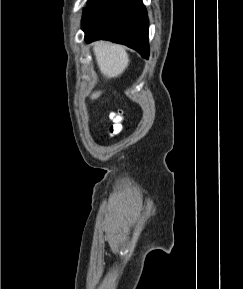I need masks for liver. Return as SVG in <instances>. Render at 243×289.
Listing matches in <instances>:
<instances>
[{
    "instance_id": "6515ba94",
    "label": "liver",
    "mask_w": 243,
    "mask_h": 289,
    "mask_svg": "<svg viewBox=\"0 0 243 289\" xmlns=\"http://www.w3.org/2000/svg\"><path fill=\"white\" fill-rule=\"evenodd\" d=\"M93 52L102 75L108 79L120 76L129 65V55L122 45L98 41L93 43ZM101 91L92 93L91 99H97Z\"/></svg>"
}]
</instances>
